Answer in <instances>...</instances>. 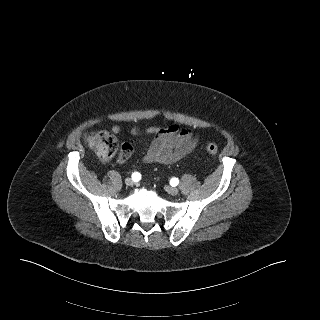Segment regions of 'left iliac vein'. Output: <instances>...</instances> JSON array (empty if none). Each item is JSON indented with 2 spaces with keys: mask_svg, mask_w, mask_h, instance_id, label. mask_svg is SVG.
I'll list each match as a JSON object with an SVG mask.
<instances>
[{
  "mask_svg": "<svg viewBox=\"0 0 320 320\" xmlns=\"http://www.w3.org/2000/svg\"><path fill=\"white\" fill-rule=\"evenodd\" d=\"M166 192H168L170 195H177L179 193V189L176 187L166 186L165 187Z\"/></svg>",
  "mask_w": 320,
  "mask_h": 320,
  "instance_id": "left-iliac-vein-1",
  "label": "left iliac vein"
}]
</instances>
